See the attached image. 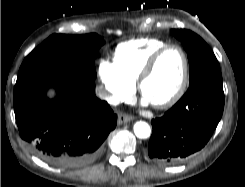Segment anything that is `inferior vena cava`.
<instances>
[{
	"label": "inferior vena cava",
	"instance_id": "inferior-vena-cava-1",
	"mask_svg": "<svg viewBox=\"0 0 245 187\" xmlns=\"http://www.w3.org/2000/svg\"><path fill=\"white\" fill-rule=\"evenodd\" d=\"M96 93L99 97L105 98L107 101H109L111 104H115L116 100L114 98H111L107 95L106 90L103 86H98L96 88Z\"/></svg>",
	"mask_w": 245,
	"mask_h": 187
}]
</instances>
